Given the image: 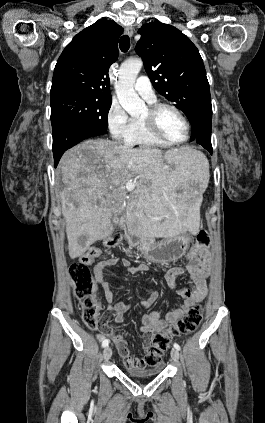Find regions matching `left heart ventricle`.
I'll return each instance as SVG.
<instances>
[{
  "instance_id": "left-heart-ventricle-1",
  "label": "left heart ventricle",
  "mask_w": 265,
  "mask_h": 423,
  "mask_svg": "<svg viewBox=\"0 0 265 423\" xmlns=\"http://www.w3.org/2000/svg\"><path fill=\"white\" fill-rule=\"evenodd\" d=\"M147 113L145 116H147ZM144 116V117H145ZM161 132L172 141H181L186 135V129L181 118L172 110L164 109L157 117Z\"/></svg>"
}]
</instances>
